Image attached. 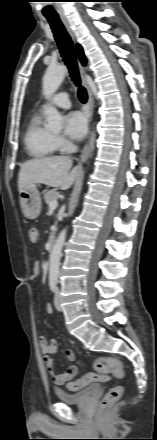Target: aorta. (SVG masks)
Here are the masks:
<instances>
[{"label":"aorta","instance_id":"obj_1","mask_svg":"<svg viewBox=\"0 0 157 440\" xmlns=\"http://www.w3.org/2000/svg\"><path fill=\"white\" fill-rule=\"evenodd\" d=\"M64 65H51L47 68L43 77V95L46 99H50L58 90L66 74ZM47 127L51 130L59 131L62 129V116L58 110L49 106L46 110ZM95 142V133H91L90 148L93 150ZM66 229H63L57 237L49 259V280L56 282L59 276L60 260L62 257V249L66 239Z\"/></svg>","mask_w":157,"mask_h":440}]
</instances>
